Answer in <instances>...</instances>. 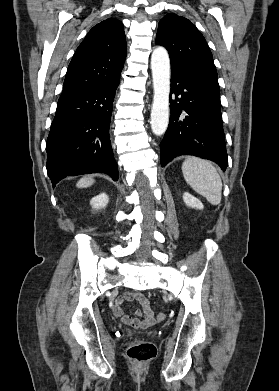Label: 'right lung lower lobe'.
I'll return each instance as SVG.
<instances>
[{"instance_id":"obj_1","label":"right lung lower lobe","mask_w":279,"mask_h":391,"mask_svg":"<svg viewBox=\"0 0 279 391\" xmlns=\"http://www.w3.org/2000/svg\"><path fill=\"white\" fill-rule=\"evenodd\" d=\"M120 77L97 88L61 96L46 143L52 186L66 176L102 172L118 179L109 138Z\"/></svg>"}]
</instances>
